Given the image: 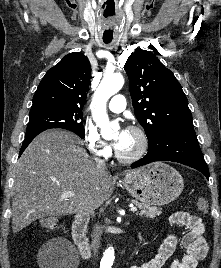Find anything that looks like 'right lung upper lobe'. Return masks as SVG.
<instances>
[{
  "label": "right lung upper lobe",
  "instance_id": "right-lung-upper-lobe-1",
  "mask_svg": "<svg viewBox=\"0 0 221 268\" xmlns=\"http://www.w3.org/2000/svg\"><path fill=\"white\" fill-rule=\"evenodd\" d=\"M90 78L91 65L84 54L73 52L66 55L41 80L30 112L52 109L82 111Z\"/></svg>",
  "mask_w": 221,
  "mask_h": 268
}]
</instances>
